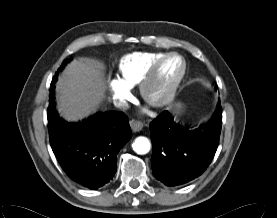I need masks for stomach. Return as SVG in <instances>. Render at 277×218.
<instances>
[{"instance_id":"0dacf381","label":"stomach","mask_w":277,"mask_h":218,"mask_svg":"<svg viewBox=\"0 0 277 218\" xmlns=\"http://www.w3.org/2000/svg\"><path fill=\"white\" fill-rule=\"evenodd\" d=\"M180 107V104H177L176 106H175V108H179Z\"/></svg>"}]
</instances>
